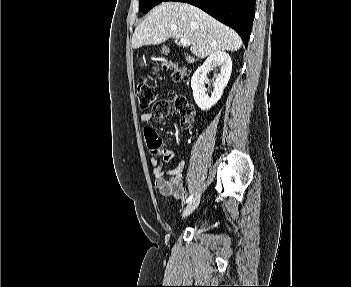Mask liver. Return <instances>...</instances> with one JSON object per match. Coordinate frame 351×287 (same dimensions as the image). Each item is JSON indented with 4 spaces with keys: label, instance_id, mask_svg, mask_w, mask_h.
Here are the masks:
<instances>
[{
    "label": "liver",
    "instance_id": "liver-1",
    "mask_svg": "<svg viewBox=\"0 0 351 287\" xmlns=\"http://www.w3.org/2000/svg\"><path fill=\"white\" fill-rule=\"evenodd\" d=\"M169 38H186L191 53L204 58L217 51H237L242 46L240 36L201 9L181 2H163L140 23L132 37V47L158 45ZM188 63L195 57L186 55Z\"/></svg>",
    "mask_w": 351,
    "mask_h": 287
}]
</instances>
